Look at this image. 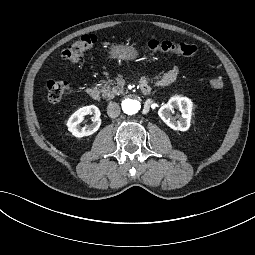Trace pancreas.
<instances>
[{
    "label": "pancreas",
    "mask_w": 255,
    "mask_h": 255,
    "mask_svg": "<svg viewBox=\"0 0 255 255\" xmlns=\"http://www.w3.org/2000/svg\"><path fill=\"white\" fill-rule=\"evenodd\" d=\"M124 91L116 85L115 82H112V80L104 81L102 85V97H104L105 100L109 101L114 98V96H119Z\"/></svg>",
    "instance_id": "cf45deb5"
}]
</instances>
